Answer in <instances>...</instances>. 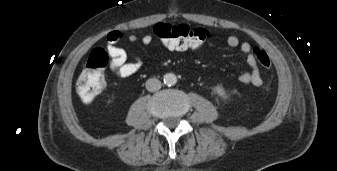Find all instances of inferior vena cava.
I'll list each match as a JSON object with an SVG mask.
<instances>
[{
    "instance_id": "obj_1",
    "label": "inferior vena cava",
    "mask_w": 337,
    "mask_h": 171,
    "mask_svg": "<svg viewBox=\"0 0 337 171\" xmlns=\"http://www.w3.org/2000/svg\"><path fill=\"white\" fill-rule=\"evenodd\" d=\"M161 88V82L156 78H150L146 81V89L155 92Z\"/></svg>"
}]
</instances>
